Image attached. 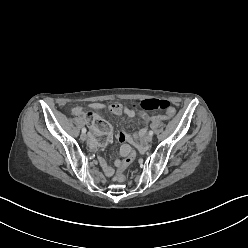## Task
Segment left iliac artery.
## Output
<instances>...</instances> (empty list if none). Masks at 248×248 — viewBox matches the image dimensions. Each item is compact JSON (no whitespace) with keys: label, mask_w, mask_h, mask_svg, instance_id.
<instances>
[{"label":"left iliac artery","mask_w":248,"mask_h":248,"mask_svg":"<svg viewBox=\"0 0 248 248\" xmlns=\"http://www.w3.org/2000/svg\"><path fill=\"white\" fill-rule=\"evenodd\" d=\"M149 135H151V136L153 135V131L152 130L149 131Z\"/></svg>","instance_id":"44dca946"}]
</instances>
